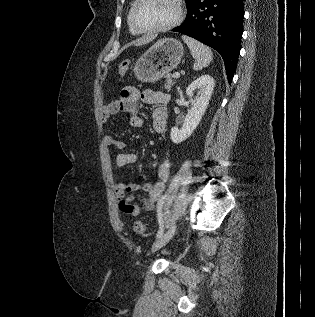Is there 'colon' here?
I'll return each mask as SVG.
<instances>
[{
    "instance_id": "colon-1",
    "label": "colon",
    "mask_w": 315,
    "mask_h": 317,
    "mask_svg": "<svg viewBox=\"0 0 315 317\" xmlns=\"http://www.w3.org/2000/svg\"><path fill=\"white\" fill-rule=\"evenodd\" d=\"M131 62L129 60L122 61L118 66V74L119 76L123 77L129 70ZM134 231L139 234L143 235L145 233V225L141 221H136L133 226Z\"/></svg>"
}]
</instances>
